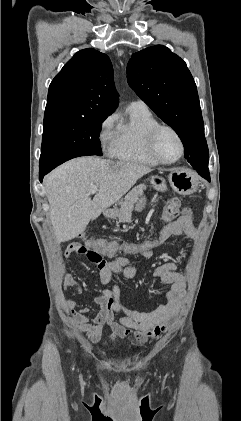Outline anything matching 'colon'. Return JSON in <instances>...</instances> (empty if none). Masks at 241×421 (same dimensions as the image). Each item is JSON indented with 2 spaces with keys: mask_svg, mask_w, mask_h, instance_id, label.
Wrapping results in <instances>:
<instances>
[{
  "mask_svg": "<svg viewBox=\"0 0 241 421\" xmlns=\"http://www.w3.org/2000/svg\"><path fill=\"white\" fill-rule=\"evenodd\" d=\"M180 208L181 200L179 198H172L164 205L161 214L164 226L175 220L179 214ZM163 242L162 235L157 231L152 238L139 243L99 240L74 242L70 244L69 247L72 253L84 254L91 262L98 266H103L106 263L104 258L105 255L114 256L121 253H148L159 247Z\"/></svg>",
  "mask_w": 241,
  "mask_h": 421,
  "instance_id": "1",
  "label": "colon"
}]
</instances>
